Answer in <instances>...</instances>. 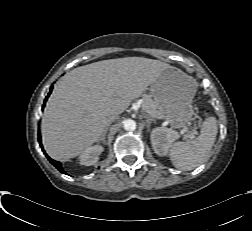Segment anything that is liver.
<instances>
[{
    "instance_id": "1",
    "label": "liver",
    "mask_w": 252,
    "mask_h": 231,
    "mask_svg": "<svg viewBox=\"0 0 252 231\" xmlns=\"http://www.w3.org/2000/svg\"><path fill=\"white\" fill-rule=\"evenodd\" d=\"M170 67L159 60L125 57L98 61L67 73L54 88L44 110V148L67 161L100 141L106 119L121 114Z\"/></svg>"
}]
</instances>
